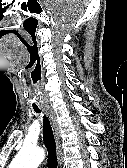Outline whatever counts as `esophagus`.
<instances>
[{
  "mask_svg": "<svg viewBox=\"0 0 127 168\" xmlns=\"http://www.w3.org/2000/svg\"><path fill=\"white\" fill-rule=\"evenodd\" d=\"M44 111L46 115L49 117V120L51 122L53 131H54V136L56 140L57 158H58L59 164L61 165L62 164V148H61V138H60V127L56 120L53 110L50 107H46Z\"/></svg>",
  "mask_w": 127,
  "mask_h": 168,
  "instance_id": "obj_1",
  "label": "esophagus"
}]
</instances>
